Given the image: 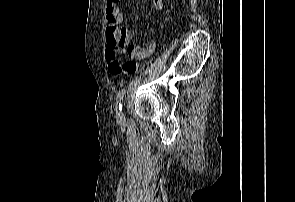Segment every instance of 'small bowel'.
Returning a JSON list of instances; mask_svg holds the SVG:
<instances>
[{
	"mask_svg": "<svg viewBox=\"0 0 295 202\" xmlns=\"http://www.w3.org/2000/svg\"><path fill=\"white\" fill-rule=\"evenodd\" d=\"M151 3L155 12H160L163 9V0H151ZM106 16L108 22L115 21L117 24L122 23L123 16L120 13L115 0H107ZM117 31L122 38L120 49H123L131 59L140 60L152 53L154 44H151L148 48H141L137 45L129 44L131 34L128 27L119 26ZM118 52L119 47L107 46L106 55L109 60L108 69L110 74L113 76H120L126 73H133L136 70V65L133 63H120V55H118Z\"/></svg>",
	"mask_w": 295,
	"mask_h": 202,
	"instance_id": "obj_1",
	"label": "small bowel"
}]
</instances>
